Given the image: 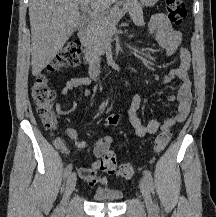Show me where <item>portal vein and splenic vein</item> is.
Instances as JSON below:
<instances>
[{
    "label": "portal vein and splenic vein",
    "instance_id": "portal-vein-and-splenic-vein-1",
    "mask_svg": "<svg viewBox=\"0 0 216 217\" xmlns=\"http://www.w3.org/2000/svg\"><path fill=\"white\" fill-rule=\"evenodd\" d=\"M127 8L123 7L122 10H120L117 15L115 16V21L116 23L125 13H126ZM81 11L85 13L90 19L92 20H100L102 19V15L98 13L97 11L91 10L89 8V5L86 3H81Z\"/></svg>",
    "mask_w": 216,
    "mask_h": 217
}]
</instances>
